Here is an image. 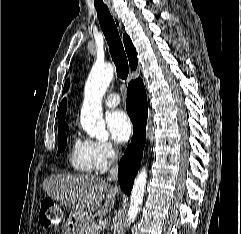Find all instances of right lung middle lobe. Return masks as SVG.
Listing matches in <instances>:
<instances>
[{"mask_svg": "<svg viewBox=\"0 0 241 234\" xmlns=\"http://www.w3.org/2000/svg\"><path fill=\"white\" fill-rule=\"evenodd\" d=\"M64 130H68V127L58 131L59 145L57 156H59V154L65 150L67 144V138Z\"/></svg>", "mask_w": 241, "mask_h": 234, "instance_id": "dd1d6c3e", "label": "right lung middle lobe"}]
</instances>
